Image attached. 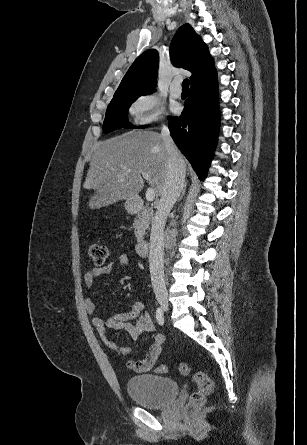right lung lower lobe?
Listing matches in <instances>:
<instances>
[{"instance_id": "98d812e1", "label": "right lung lower lobe", "mask_w": 307, "mask_h": 445, "mask_svg": "<svg viewBox=\"0 0 307 445\" xmlns=\"http://www.w3.org/2000/svg\"><path fill=\"white\" fill-rule=\"evenodd\" d=\"M217 73L213 67L191 83L180 117H169V130L200 180L207 174L219 129Z\"/></svg>"}]
</instances>
